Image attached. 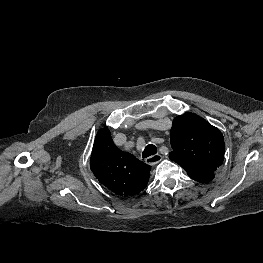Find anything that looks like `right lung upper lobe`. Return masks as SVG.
<instances>
[{
    "instance_id": "right-lung-upper-lobe-1",
    "label": "right lung upper lobe",
    "mask_w": 263,
    "mask_h": 263,
    "mask_svg": "<svg viewBox=\"0 0 263 263\" xmlns=\"http://www.w3.org/2000/svg\"><path fill=\"white\" fill-rule=\"evenodd\" d=\"M90 168L101 184L124 197L144 190L150 177V167L134 155L118 149L107 127L97 132Z\"/></svg>"
}]
</instances>
